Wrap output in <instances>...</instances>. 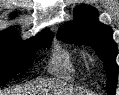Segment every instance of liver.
I'll return each instance as SVG.
<instances>
[{
  "instance_id": "1",
  "label": "liver",
  "mask_w": 119,
  "mask_h": 95,
  "mask_svg": "<svg viewBox=\"0 0 119 95\" xmlns=\"http://www.w3.org/2000/svg\"><path fill=\"white\" fill-rule=\"evenodd\" d=\"M50 88V89H58V93L64 95H71L73 94V89L67 87L63 83H55L50 81H39L35 84H31L28 86H25L24 88L19 89H11V90H1L0 89V95H36L35 93H42L44 89Z\"/></svg>"
}]
</instances>
